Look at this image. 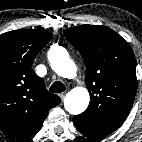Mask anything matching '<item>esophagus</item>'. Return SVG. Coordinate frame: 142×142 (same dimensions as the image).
Here are the masks:
<instances>
[{
    "label": "esophagus",
    "mask_w": 142,
    "mask_h": 142,
    "mask_svg": "<svg viewBox=\"0 0 142 142\" xmlns=\"http://www.w3.org/2000/svg\"><path fill=\"white\" fill-rule=\"evenodd\" d=\"M66 92H62L59 94V97L61 98V100H63L65 98Z\"/></svg>",
    "instance_id": "34e87169"
}]
</instances>
